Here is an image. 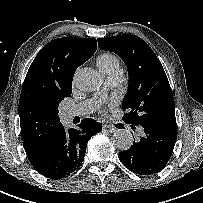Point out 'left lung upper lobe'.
<instances>
[{"label": "left lung upper lobe", "instance_id": "obj_1", "mask_svg": "<svg viewBox=\"0 0 203 203\" xmlns=\"http://www.w3.org/2000/svg\"><path fill=\"white\" fill-rule=\"evenodd\" d=\"M98 45L119 55L129 74L122 102L123 121L133 125L156 123L176 127L173 93L166 73L148 44L135 35L98 38Z\"/></svg>", "mask_w": 203, "mask_h": 203}]
</instances>
